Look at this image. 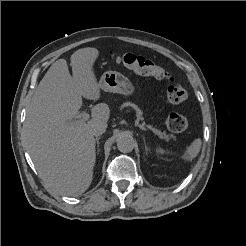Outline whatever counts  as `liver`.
Returning a JSON list of instances; mask_svg holds the SVG:
<instances>
[{"label":"liver","instance_id":"liver-1","mask_svg":"<svg viewBox=\"0 0 246 246\" xmlns=\"http://www.w3.org/2000/svg\"><path fill=\"white\" fill-rule=\"evenodd\" d=\"M96 48H82L71 57L73 77L65 59L54 62L40 81L28 105L24 141L43 182L55 191L78 196L92 183L96 161L91 129L107 125L110 109L105 103L92 108L91 120H73L82 97L99 100L100 86L93 65Z\"/></svg>","mask_w":246,"mask_h":246}]
</instances>
